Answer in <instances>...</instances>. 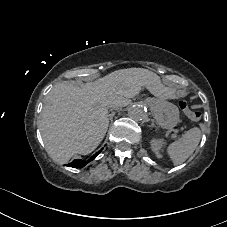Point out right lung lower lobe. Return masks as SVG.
Returning <instances> with one entry per match:
<instances>
[{
  "label": "right lung lower lobe",
  "mask_w": 227,
  "mask_h": 227,
  "mask_svg": "<svg viewBox=\"0 0 227 227\" xmlns=\"http://www.w3.org/2000/svg\"><path fill=\"white\" fill-rule=\"evenodd\" d=\"M101 150L98 151L97 153H95L89 160H81V159H77L74 160L73 162H71L70 164H68L67 166L69 167H74V168H82L84 167L88 162L92 161L93 159H95L99 154H100Z\"/></svg>",
  "instance_id": "right-lung-lower-lobe-1"
}]
</instances>
